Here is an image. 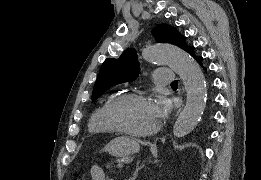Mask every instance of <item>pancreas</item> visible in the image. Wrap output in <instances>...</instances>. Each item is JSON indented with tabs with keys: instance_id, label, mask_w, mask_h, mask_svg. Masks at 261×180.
I'll list each match as a JSON object with an SVG mask.
<instances>
[{
	"instance_id": "cf45deb5",
	"label": "pancreas",
	"mask_w": 261,
	"mask_h": 180,
	"mask_svg": "<svg viewBox=\"0 0 261 180\" xmlns=\"http://www.w3.org/2000/svg\"><path fill=\"white\" fill-rule=\"evenodd\" d=\"M114 163V160L112 159H107V162H105V167L107 170H115V165L113 164Z\"/></svg>"
}]
</instances>
